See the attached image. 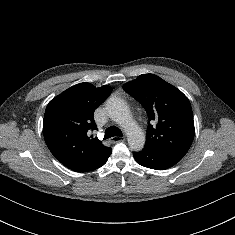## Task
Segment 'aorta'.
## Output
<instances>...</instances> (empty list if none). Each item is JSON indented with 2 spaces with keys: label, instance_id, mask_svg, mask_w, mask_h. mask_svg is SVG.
I'll use <instances>...</instances> for the list:
<instances>
[{
  "label": "aorta",
  "instance_id": "obj_1",
  "mask_svg": "<svg viewBox=\"0 0 235 235\" xmlns=\"http://www.w3.org/2000/svg\"><path fill=\"white\" fill-rule=\"evenodd\" d=\"M106 110L109 117L124 129L130 149L133 151L143 149L145 135L133 120L127 104L120 98L111 97L106 102Z\"/></svg>",
  "mask_w": 235,
  "mask_h": 235
}]
</instances>
